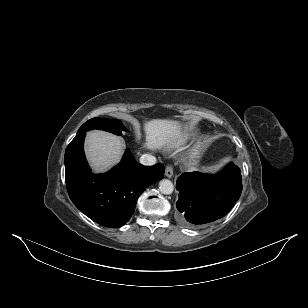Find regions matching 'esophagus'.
Returning <instances> with one entry per match:
<instances>
[{
    "instance_id": "esophagus-1",
    "label": "esophagus",
    "mask_w": 308,
    "mask_h": 308,
    "mask_svg": "<svg viewBox=\"0 0 308 308\" xmlns=\"http://www.w3.org/2000/svg\"><path fill=\"white\" fill-rule=\"evenodd\" d=\"M165 176L171 178L173 176V167L171 165L166 166Z\"/></svg>"
}]
</instances>
